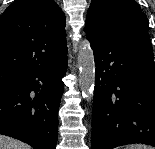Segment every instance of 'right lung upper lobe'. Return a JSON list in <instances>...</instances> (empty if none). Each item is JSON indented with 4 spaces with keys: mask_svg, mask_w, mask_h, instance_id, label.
<instances>
[{
    "mask_svg": "<svg viewBox=\"0 0 155 149\" xmlns=\"http://www.w3.org/2000/svg\"><path fill=\"white\" fill-rule=\"evenodd\" d=\"M65 24L54 0H16L0 16V71L25 74L60 59Z\"/></svg>",
    "mask_w": 155,
    "mask_h": 149,
    "instance_id": "right-lung-upper-lobe-1",
    "label": "right lung upper lobe"
}]
</instances>
